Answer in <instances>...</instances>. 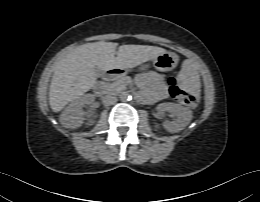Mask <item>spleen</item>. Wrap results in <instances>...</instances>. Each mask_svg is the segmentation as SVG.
Instances as JSON below:
<instances>
[{
	"label": "spleen",
	"instance_id": "3e777b00",
	"mask_svg": "<svg viewBox=\"0 0 260 202\" xmlns=\"http://www.w3.org/2000/svg\"><path fill=\"white\" fill-rule=\"evenodd\" d=\"M179 78L186 90L198 93L200 88L199 76L192 67L184 65L180 71Z\"/></svg>",
	"mask_w": 260,
	"mask_h": 202
}]
</instances>
